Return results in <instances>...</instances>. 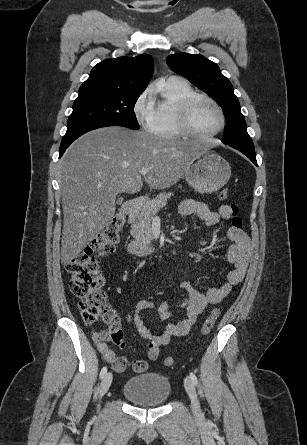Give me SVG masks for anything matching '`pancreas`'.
<instances>
[{
    "label": "pancreas",
    "mask_w": 307,
    "mask_h": 445,
    "mask_svg": "<svg viewBox=\"0 0 307 445\" xmlns=\"http://www.w3.org/2000/svg\"><path fill=\"white\" fill-rule=\"evenodd\" d=\"M173 196V192H160L156 198H151L143 204L140 212L136 214V220L132 225V231H135L133 237L136 241H141L145 245H151L153 235L151 233V220L162 206H166L168 198Z\"/></svg>",
    "instance_id": "pancreas-1"
}]
</instances>
